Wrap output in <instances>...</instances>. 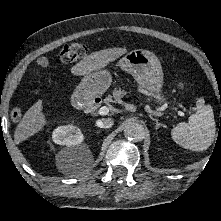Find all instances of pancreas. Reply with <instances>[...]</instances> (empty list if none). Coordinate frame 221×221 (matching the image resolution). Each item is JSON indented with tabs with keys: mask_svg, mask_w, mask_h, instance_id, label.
<instances>
[{
	"mask_svg": "<svg viewBox=\"0 0 221 221\" xmlns=\"http://www.w3.org/2000/svg\"><path fill=\"white\" fill-rule=\"evenodd\" d=\"M126 93L127 92L124 89L115 88L114 91L112 92V95H108L104 99V102L106 104L118 102Z\"/></svg>",
	"mask_w": 221,
	"mask_h": 221,
	"instance_id": "1",
	"label": "pancreas"
}]
</instances>
